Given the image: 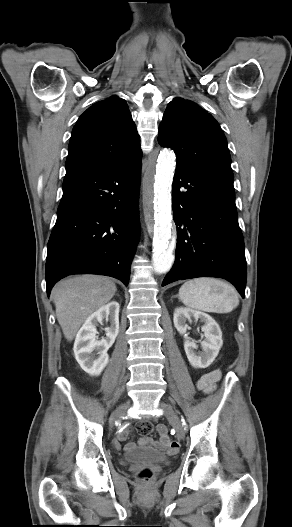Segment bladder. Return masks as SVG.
I'll list each match as a JSON object with an SVG mask.
<instances>
[{
    "label": "bladder",
    "instance_id": "1",
    "mask_svg": "<svg viewBox=\"0 0 292 527\" xmlns=\"http://www.w3.org/2000/svg\"><path fill=\"white\" fill-rule=\"evenodd\" d=\"M123 464L130 463H168L169 457L161 452L149 449H134L124 454Z\"/></svg>",
    "mask_w": 292,
    "mask_h": 527
}]
</instances>
